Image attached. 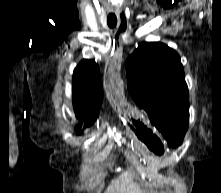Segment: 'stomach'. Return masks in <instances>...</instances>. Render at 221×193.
<instances>
[{
	"mask_svg": "<svg viewBox=\"0 0 221 193\" xmlns=\"http://www.w3.org/2000/svg\"><path fill=\"white\" fill-rule=\"evenodd\" d=\"M109 103H113V107L123 115V120L132 130L130 138H133V142H130L128 152H139V147H146V152H151L155 159L167 155L162 142L165 133H157L150 120H144V115H138V110H135L136 104L130 102L129 98H109Z\"/></svg>",
	"mask_w": 221,
	"mask_h": 193,
	"instance_id": "obj_1",
	"label": "stomach"
}]
</instances>
